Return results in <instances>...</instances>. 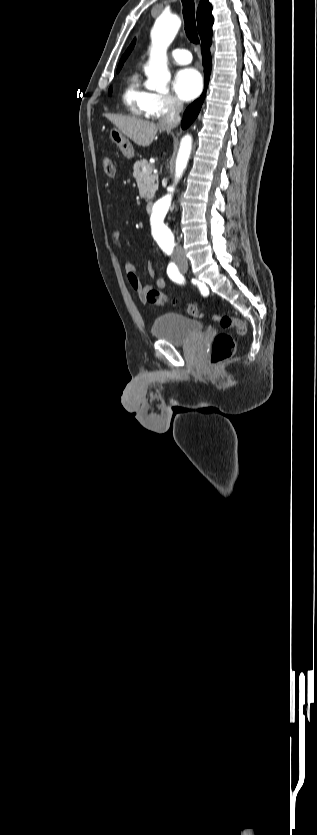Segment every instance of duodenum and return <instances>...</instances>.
Returning a JSON list of instances; mask_svg holds the SVG:
<instances>
[{
  "label": "duodenum",
  "mask_w": 317,
  "mask_h": 835,
  "mask_svg": "<svg viewBox=\"0 0 317 835\" xmlns=\"http://www.w3.org/2000/svg\"><path fill=\"white\" fill-rule=\"evenodd\" d=\"M152 208H153V202H152V201H148V202L146 203V211H147L148 213H150V212L152 211Z\"/></svg>",
  "instance_id": "1"
}]
</instances>
